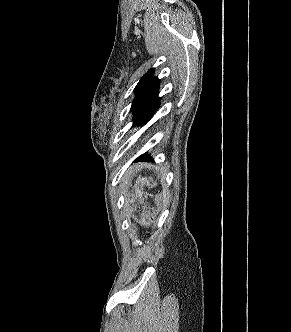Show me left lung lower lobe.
<instances>
[{
	"instance_id": "obj_1",
	"label": "left lung lower lobe",
	"mask_w": 291,
	"mask_h": 332,
	"mask_svg": "<svg viewBox=\"0 0 291 332\" xmlns=\"http://www.w3.org/2000/svg\"><path fill=\"white\" fill-rule=\"evenodd\" d=\"M159 105H160V98L156 97L153 100H151L144 109L140 123H146L153 116V114L157 111ZM138 160H148L149 161L150 156L143 154L139 158L136 159V161H138Z\"/></svg>"
}]
</instances>
